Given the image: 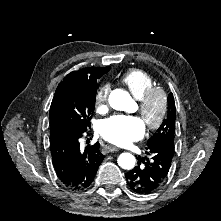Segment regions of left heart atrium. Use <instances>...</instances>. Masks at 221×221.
I'll use <instances>...</instances> for the list:
<instances>
[{
	"label": "left heart atrium",
	"instance_id": "39dd6f15",
	"mask_svg": "<svg viewBox=\"0 0 221 221\" xmlns=\"http://www.w3.org/2000/svg\"><path fill=\"white\" fill-rule=\"evenodd\" d=\"M99 132L108 142L125 146L144 136L145 125L137 116L114 115L100 124Z\"/></svg>",
	"mask_w": 221,
	"mask_h": 221
}]
</instances>
